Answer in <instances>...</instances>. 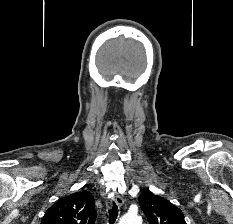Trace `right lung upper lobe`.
<instances>
[{
    "mask_svg": "<svg viewBox=\"0 0 233 224\" xmlns=\"http://www.w3.org/2000/svg\"><path fill=\"white\" fill-rule=\"evenodd\" d=\"M95 219L92 194L80 191L58 200L46 211L41 224H94Z\"/></svg>",
    "mask_w": 233,
    "mask_h": 224,
    "instance_id": "cb5924a9",
    "label": "right lung upper lobe"
}]
</instances>
